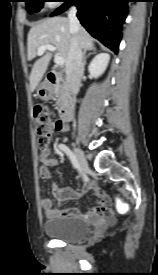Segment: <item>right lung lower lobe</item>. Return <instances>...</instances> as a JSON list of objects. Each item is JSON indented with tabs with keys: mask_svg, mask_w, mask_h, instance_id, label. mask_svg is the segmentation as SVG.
<instances>
[{
	"mask_svg": "<svg viewBox=\"0 0 158 275\" xmlns=\"http://www.w3.org/2000/svg\"><path fill=\"white\" fill-rule=\"evenodd\" d=\"M129 0H65L51 16L63 13L72 4L86 30L115 53L121 39V27L128 13Z\"/></svg>",
	"mask_w": 158,
	"mask_h": 275,
	"instance_id": "1",
	"label": "right lung lower lobe"
}]
</instances>
